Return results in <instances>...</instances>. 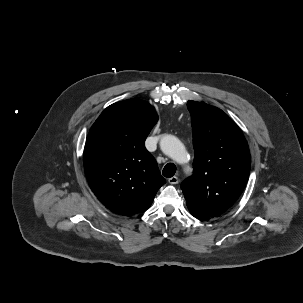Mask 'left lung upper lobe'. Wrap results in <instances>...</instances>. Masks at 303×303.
<instances>
[{
  "label": "left lung upper lobe",
  "mask_w": 303,
  "mask_h": 303,
  "mask_svg": "<svg viewBox=\"0 0 303 303\" xmlns=\"http://www.w3.org/2000/svg\"><path fill=\"white\" fill-rule=\"evenodd\" d=\"M195 157L181 189L189 211L219 217L238 200L250 173V153L236 123L222 110L188 101Z\"/></svg>",
  "instance_id": "5c2ea615"
}]
</instances>
